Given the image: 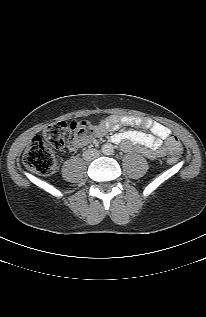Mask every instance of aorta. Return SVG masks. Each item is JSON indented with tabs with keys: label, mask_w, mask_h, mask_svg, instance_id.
Returning a JSON list of instances; mask_svg holds the SVG:
<instances>
[{
	"label": "aorta",
	"mask_w": 206,
	"mask_h": 317,
	"mask_svg": "<svg viewBox=\"0 0 206 317\" xmlns=\"http://www.w3.org/2000/svg\"><path fill=\"white\" fill-rule=\"evenodd\" d=\"M102 152L105 155H111L114 152L113 145L110 143H106L102 146Z\"/></svg>",
	"instance_id": "1"
}]
</instances>
